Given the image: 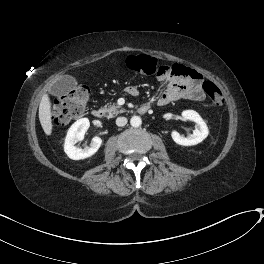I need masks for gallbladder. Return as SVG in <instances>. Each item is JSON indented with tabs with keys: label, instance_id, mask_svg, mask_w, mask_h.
Returning <instances> with one entry per match:
<instances>
[{
	"label": "gallbladder",
	"instance_id": "obj_1",
	"mask_svg": "<svg viewBox=\"0 0 264 264\" xmlns=\"http://www.w3.org/2000/svg\"><path fill=\"white\" fill-rule=\"evenodd\" d=\"M77 86V81L74 77L66 75L60 78L52 87L53 93L63 94L74 89Z\"/></svg>",
	"mask_w": 264,
	"mask_h": 264
}]
</instances>
